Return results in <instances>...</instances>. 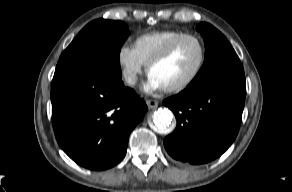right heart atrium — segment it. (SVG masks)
Returning <instances> with one entry per match:
<instances>
[{
	"mask_svg": "<svg viewBox=\"0 0 292 192\" xmlns=\"http://www.w3.org/2000/svg\"><path fill=\"white\" fill-rule=\"evenodd\" d=\"M117 63L125 83L134 86L145 65L135 48L127 44L121 45L117 51Z\"/></svg>",
	"mask_w": 292,
	"mask_h": 192,
	"instance_id": "1",
	"label": "right heart atrium"
}]
</instances>
